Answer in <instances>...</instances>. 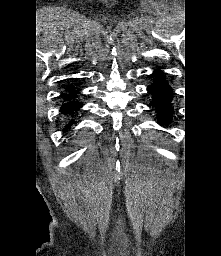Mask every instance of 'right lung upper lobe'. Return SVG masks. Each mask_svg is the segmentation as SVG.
Instances as JSON below:
<instances>
[{
    "instance_id": "cb5924a9",
    "label": "right lung upper lobe",
    "mask_w": 221,
    "mask_h": 256,
    "mask_svg": "<svg viewBox=\"0 0 221 256\" xmlns=\"http://www.w3.org/2000/svg\"><path fill=\"white\" fill-rule=\"evenodd\" d=\"M67 90L69 91L70 94L76 93V90H74V88L72 86H68ZM65 96H67V94H65Z\"/></svg>"
}]
</instances>
